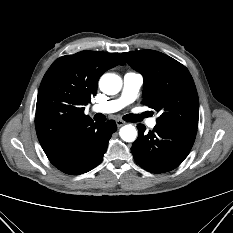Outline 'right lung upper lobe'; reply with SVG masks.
Masks as SVG:
<instances>
[{
	"label": "right lung upper lobe",
	"instance_id": "cb5924a9",
	"mask_svg": "<svg viewBox=\"0 0 233 233\" xmlns=\"http://www.w3.org/2000/svg\"><path fill=\"white\" fill-rule=\"evenodd\" d=\"M125 61L119 53L81 51L58 58L39 87L35 126L46 154L63 153L81 144L95 125L84 106L97 93L100 76Z\"/></svg>",
	"mask_w": 233,
	"mask_h": 233
}]
</instances>
